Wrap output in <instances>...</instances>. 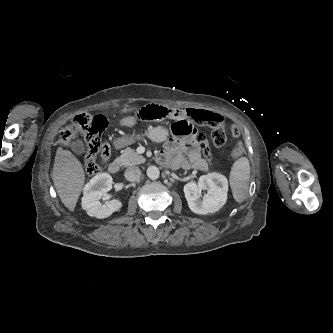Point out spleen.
Here are the masks:
<instances>
[{"instance_id":"1","label":"spleen","mask_w":333,"mask_h":333,"mask_svg":"<svg viewBox=\"0 0 333 333\" xmlns=\"http://www.w3.org/2000/svg\"><path fill=\"white\" fill-rule=\"evenodd\" d=\"M250 179V164L246 157L235 161L230 172V186L234 199L241 203L247 196Z\"/></svg>"}]
</instances>
